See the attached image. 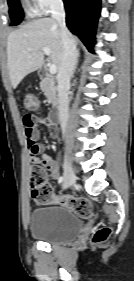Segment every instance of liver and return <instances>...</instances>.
<instances>
[{
	"label": "liver",
	"mask_w": 134,
	"mask_h": 281,
	"mask_svg": "<svg viewBox=\"0 0 134 281\" xmlns=\"http://www.w3.org/2000/svg\"><path fill=\"white\" fill-rule=\"evenodd\" d=\"M72 38L76 44L77 39L73 36ZM43 47L51 49L50 59L59 69L63 48L60 28L53 18L30 21L9 34L7 65L10 82L14 89L28 74L42 67Z\"/></svg>",
	"instance_id": "1"
}]
</instances>
